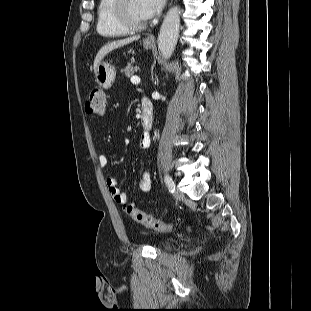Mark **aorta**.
Listing matches in <instances>:
<instances>
[{
	"label": "aorta",
	"instance_id": "762f6f07",
	"mask_svg": "<svg viewBox=\"0 0 311 311\" xmlns=\"http://www.w3.org/2000/svg\"><path fill=\"white\" fill-rule=\"evenodd\" d=\"M179 27L180 8L174 6L167 12L158 35V50L165 59L170 58L175 49Z\"/></svg>",
	"mask_w": 311,
	"mask_h": 311
}]
</instances>
